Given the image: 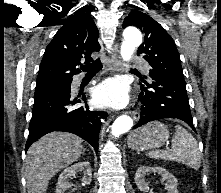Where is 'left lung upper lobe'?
<instances>
[{
  "mask_svg": "<svg viewBox=\"0 0 221 193\" xmlns=\"http://www.w3.org/2000/svg\"><path fill=\"white\" fill-rule=\"evenodd\" d=\"M136 26L145 35L138 54L149 62V75L164 74L184 78L180 56L172 37L149 15L133 10L125 18L122 27Z\"/></svg>",
  "mask_w": 221,
  "mask_h": 193,
  "instance_id": "1",
  "label": "left lung upper lobe"
}]
</instances>
